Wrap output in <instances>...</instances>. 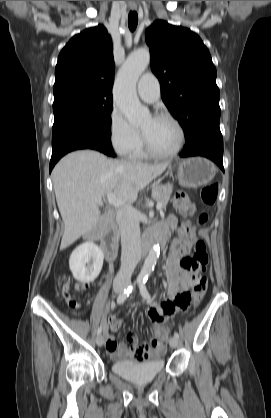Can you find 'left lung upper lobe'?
<instances>
[{
  "instance_id": "5c2ea615",
  "label": "left lung upper lobe",
  "mask_w": 271,
  "mask_h": 418,
  "mask_svg": "<svg viewBox=\"0 0 271 418\" xmlns=\"http://www.w3.org/2000/svg\"><path fill=\"white\" fill-rule=\"evenodd\" d=\"M145 36L162 100L183 127L186 140L199 129L219 127L216 68L200 37L162 20L154 22Z\"/></svg>"
}]
</instances>
